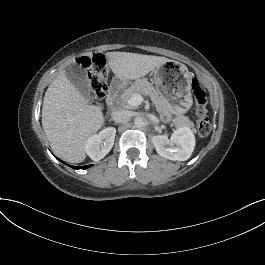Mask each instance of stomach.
<instances>
[{
    "label": "stomach",
    "instance_id": "stomach-1",
    "mask_svg": "<svg viewBox=\"0 0 265 265\" xmlns=\"http://www.w3.org/2000/svg\"><path fill=\"white\" fill-rule=\"evenodd\" d=\"M154 84L171 105L173 114L182 115L191 108V74L184 64L169 60L157 67L154 70Z\"/></svg>",
    "mask_w": 265,
    "mask_h": 265
}]
</instances>
